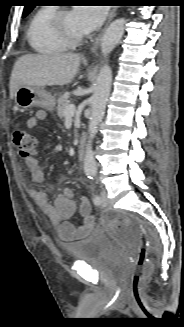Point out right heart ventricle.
Wrapping results in <instances>:
<instances>
[{"mask_svg":"<svg viewBox=\"0 0 184 327\" xmlns=\"http://www.w3.org/2000/svg\"><path fill=\"white\" fill-rule=\"evenodd\" d=\"M56 11L54 7H42L34 13L29 22L27 39L38 53L55 55L70 48L52 28L51 20Z\"/></svg>","mask_w":184,"mask_h":327,"instance_id":"right-heart-ventricle-1","label":"right heart ventricle"}]
</instances>
